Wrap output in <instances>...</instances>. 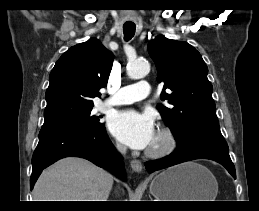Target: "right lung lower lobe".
Here are the masks:
<instances>
[{
  "label": "right lung lower lobe",
  "instance_id": "obj_1",
  "mask_svg": "<svg viewBox=\"0 0 259 211\" xmlns=\"http://www.w3.org/2000/svg\"><path fill=\"white\" fill-rule=\"evenodd\" d=\"M68 156L85 158L125 177L124 167L119 168L115 164L116 152L105 126L99 129L49 127L42 128L39 133V143L32 157L30 188L33 189L44 168Z\"/></svg>",
  "mask_w": 259,
  "mask_h": 211
}]
</instances>
